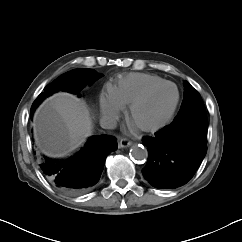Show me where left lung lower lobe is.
<instances>
[{
	"label": "left lung lower lobe",
	"mask_w": 242,
	"mask_h": 242,
	"mask_svg": "<svg viewBox=\"0 0 242 242\" xmlns=\"http://www.w3.org/2000/svg\"><path fill=\"white\" fill-rule=\"evenodd\" d=\"M207 126L195 125L179 132L161 129L144 137L148 161L144 178L156 188L174 189L186 184L195 174L207 152Z\"/></svg>",
	"instance_id": "0a47b994"
}]
</instances>
